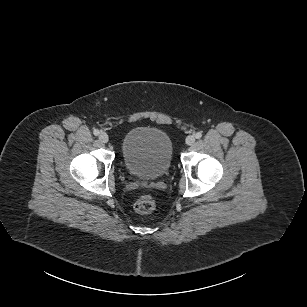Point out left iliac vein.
I'll return each mask as SVG.
<instances>
[{"instance_id": "obj_1", "label": "left iliac vein", "mask_w": 307, "mask_h": 307, "mask_svg": "<svg viewBox=\"0 0 307 307\" xmlns=\"http://www.w3.org/2000/svg\"><path fill=\"white\" fill-rule=\"evenodd\" d=\"M194 142H195V137H194L193 135H189V136L186 138V144H187V145H192Z\"/></svg>"}]
</instances>
